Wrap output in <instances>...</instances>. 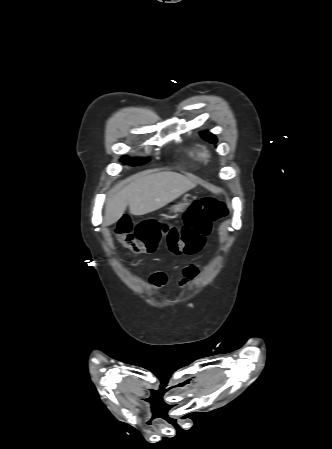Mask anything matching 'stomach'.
Segmentation results:
<instances>
[{"label":"stomach","instance_id":"0dacf381","mask_svg":"<svg viewBox=\"0 0 332 449\" xmlns=\"http://www.w3.org/2000/svg\"><path fill=\"white\" fill-rule=\"evenodd\" d=\"M188 206V203L184 201L183 203H179L171 207V211L173 212H181Z\"/></svg>","mask_w":332,"mask_h":449}]
</instances>
